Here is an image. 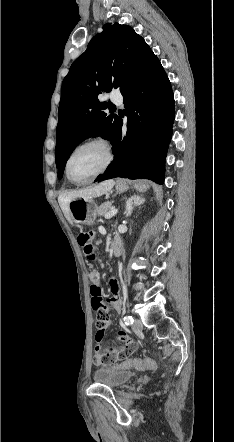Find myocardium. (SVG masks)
<instances>
[{"mask_svg":"<svg viewBox=\"0 0 234 442\" xmlns=\"http://www.w3.org/2000/svg\"><path fill=\"white\" fill-rule=\"evenodd\" d=\"M100 146L101 148H103L105 155H106V159L105 162L103 164V166L95 173L93 174L91 177H89L86 180L83 181H77L75 179L72 178L71 174H70V161L73 157V155L80 149L87 147V146ZM114 160V153L113 150L110 146V144L102 139V138H93V139H89L86 140L82 143H80L79 145H77L69 154L67 160H66V165H65V172H66V176L69 179L70 182H72L73 184L76 185H83V184H87L90 183L91 181H93L95 178H97L98 176H100L101 174H103L112 164Z\"/></svg>","mask_w":234,"mask_h":442,"instance_id":"obj_1","label":"myocardium"}]
</instances>
